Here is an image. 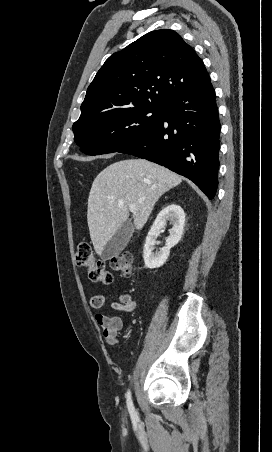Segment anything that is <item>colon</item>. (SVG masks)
I'll list each match as a JSON object with an SVG mask.
<instances>
[{"instance_id": "1", "label": "colon", "mask_w": 272, "mask_h": 452, "mask_svg": "<svg viewBox=\"0 0 272 452\" xmlns=\"http://www.w3.org/2000/svg\"><path fill=\"white\" fill-rule=\"evenodd\" d=\"M75 262L78 267L88 270L91 281L100 284H110L113 280L112 273L106 269L105 264L98 261L89 243L82 242L77 247ZM112 269L129 276L132 273V256L122 254L114 257L111 261Z\"/></svg>"}]
</instances>
